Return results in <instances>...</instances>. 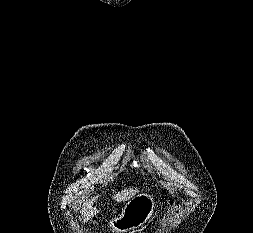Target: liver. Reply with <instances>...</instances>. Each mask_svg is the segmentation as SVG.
<instances>
[{
  "label": "liver",
  "instance_id": "liver-1",
  "mask_svg": "<svg viewBox=\"0 0 253 233\" xmlns=\"http://www.w3.org/2000/svg\"><path fill=\"white\" fill-rule=\"evenodd\" d=\"M138 193L137 188H129L122 190L121 192H118L116 195L113 196V199L117 202H125L130 200L132 197H134ZM97 197H93L86 201V203L83 205L82 208V218L84 222L89 221L91 218H93L94 215L98 213V209L96 207H93V204L96 202Z\"/></svg>",
  "mask_w": 253,
  "mask_h": 233
}]
</instances>
